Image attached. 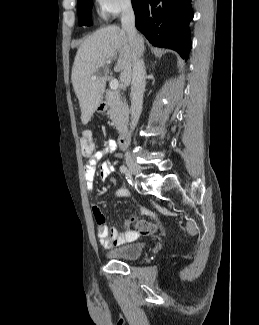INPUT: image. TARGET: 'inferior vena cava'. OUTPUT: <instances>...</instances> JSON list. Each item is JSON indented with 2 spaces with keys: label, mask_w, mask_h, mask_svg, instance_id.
I'll list each match as a JSON object with an SVG mask.
<instances>
[{
  "label": "inferior vena cava",
  "mask_w": 259,
  "mask_h": 325,
  "mask_svg": "<svg viewBox=\"0 0 259 325\" xmlns=\"http://www.w3.org/2000/svg\"><path fill=\"white\" fill-rule=\"evenodd\" d=\"M122 30H124L133 47L132 81H131V129L138 123L142 112L143 94L145 90L146 69L139 42V35L135 28V16L131 3L128 1L122 7L121 14Z\"/></svg>",
  "instance_id": "602c4592"
}]
</instances>
